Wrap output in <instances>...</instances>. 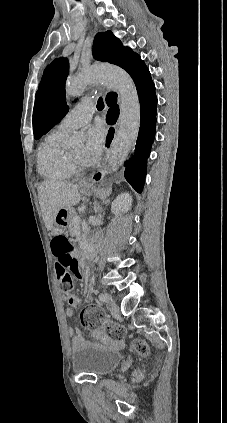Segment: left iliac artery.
Masks as SVG:
<instances>
[{
	"mask_svg": "<svg viewBox=\"0 0 227 423\" xmlns=\"http://www.w3.org/2000/svg\"><path fill=\"white\" fill-rule=\"evenodd\" d=\"M99 299H100V301H102V302H108L109 300H111V296H110V294L105 293V294H101V295L99 296Z\"/></svg>",
	"mask_w": 227,
	"mask_h": 423,
	"instance_id": "left-iliac-artery-1",
	"label": "left iliac artery"
}]
</instances>
